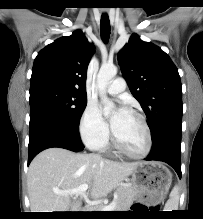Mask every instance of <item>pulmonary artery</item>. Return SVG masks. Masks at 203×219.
Listing matches in <instances>:
<instances>
[{
	"mask_svg": "<svg viewBox=\"0 0 203 219\" xmlns=\"http://www.w3.org/2000/svg\"><path fill=\"white\" fill-rule=\"evenodd\" d=\"M126 83L123 78H116L110 85L107 86L106 91L111 95H118L125 90Z\"/></svg>",
	"mask_w": 203,
	"mask_h": 219,
	"instance_id": "e3ab8cb5",
	"label": "pulmonary artery"
}]
</instances>
